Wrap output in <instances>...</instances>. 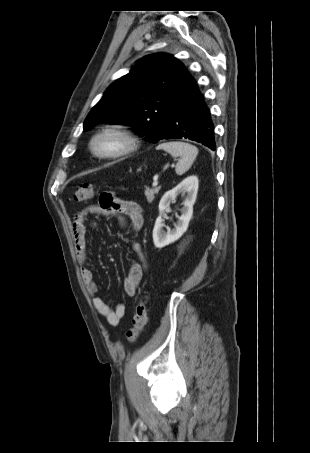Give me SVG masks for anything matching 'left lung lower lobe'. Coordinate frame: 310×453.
I'll list each match as a JSON object with an SVG mask.
<instances>
[{
	"instance_id": "1",
	"label": "left lung lower lobe",
	"mask_w": 310,
	"mask_h": 453,
	"mask_svg": "<svg viewBox=\"0 0 310 453\" xmlns=\"http://www.w3.org/2000/svg\"><path fill=\"white\" fill-rule=\"evenodd\" d=\"M189 139L215 150L214 124L197 82L190 75L171 113L162 139Z\"/></svg>"
}]
</instances>
